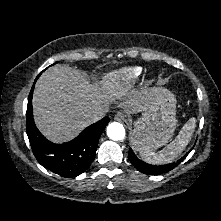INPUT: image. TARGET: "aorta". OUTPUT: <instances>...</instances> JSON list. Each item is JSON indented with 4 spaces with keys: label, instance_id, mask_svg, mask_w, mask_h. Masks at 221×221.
<instances>
[{
    "label": "aorta",
    "instance_id": "762f6f07",
    "mask_svg": "<svg viewBox=\"0 0 221 221\" xmlns=\"http://www.w3.org/2000/svg\"><path fill=\"white\" fill-rule=\"evenodd\" d=\"M107 135L112 140L121 141L125 138V129L121 123L112 122L107 126Z\"/></svg>",
    "mask_w": 221,
    "mask_h": 221
}]
</instances>
